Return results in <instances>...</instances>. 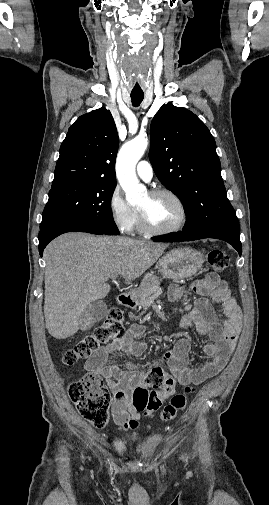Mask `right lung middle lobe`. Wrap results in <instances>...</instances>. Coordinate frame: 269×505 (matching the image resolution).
Returning <instances> with one entry per match:
<instances>
[{
  "label": "right lung middle lobe",
  "instance_id": "dd1d6c3e",
  "mask_svg": "<svg viewBox=\"0 0 269 505\" xmlns=\"http://www.w3.org/2000/svg\"><path fill=\"white\" fill-rule=\"evenodd\" d=\"M115 183L78 182L52 187L40 228L56 221H68L118 235L110 203Z\"/></svg>",
  "mask_w": 269,
  "mask_h": 505
}]
</instances>
